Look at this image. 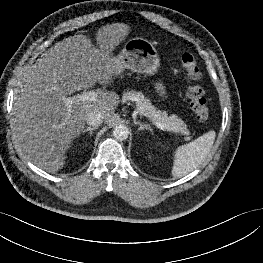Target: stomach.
I'll return each instance as SVG.
<instances>
[{
    "label": "stomach",
    "instance_id": "0dacf381",
    "mask_svg": "<svg viewBox=\"0 0 263 263\" xmlns=\"http://www.w3.org/2000/svg\"><path fill=\"white\" fill-rule=\"evenodd\" d=\"M112 59L117 68V75L125 69L153 75L160 67V60L154 45L139 37L127 41L120 54Z\"/></svg>",
    "mask_w": 263,
    "mask_h": 263
}]
</instances>
